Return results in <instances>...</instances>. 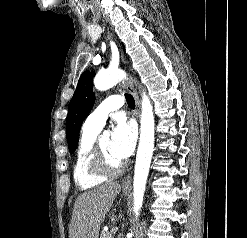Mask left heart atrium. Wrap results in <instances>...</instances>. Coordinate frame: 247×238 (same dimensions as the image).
<instances>
[{"mask_svg": "<svg viewBox=\"0 0 247 238\" xmlns=\"http://www.w3.org/2000/svg\"><path fill=\"white\" fill-rule=\"evenodd\" d=\"M137 131L133 123L118 118L112 130L111 147L114 154L124 160L128 158L136 144Z\"/></svg>", "mask_w": 247, "mask_h": 238, "instance_id": "39dd6f15", "label": "left heart atrium"}]
</instances>
